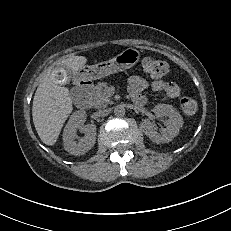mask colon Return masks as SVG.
<instances>
[{"label":"colon","mask_w":231,"mask_h":231,"mask_svg":"<svg viewBox=\"0 0 231 231\" xmlns=\"http://www.w3.org/2000/svg\"><path fill=\"white\" fill-rule=\"evenodd\" d=\"M142 69L146 75L153 79L162 78L169 70L166 62L153 57H145L142 60ZM180 105L186 115H194L197 111V102L191 97H183Z\"/></svg>","instance_id":"colon-1"}]
</instances>
